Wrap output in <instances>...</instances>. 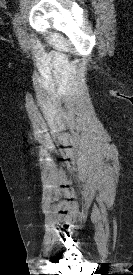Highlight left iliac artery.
<instances>
[{"instance_id": "left-iliac-artery-1", "label": "left iliac artery", "mask_w": 133, "mask_h": 275, "mask_svg": "<svg viewBox=\"0 0 133 275\" xmlns=\"http://www.w3.org/2000/svg\"><path fill=\"white\" fill-rule=\"evenodd\" d=\"M19 21H20V14L16 13L13 17V22H14V24H16Z\"/></svg>"}]
</instances>
